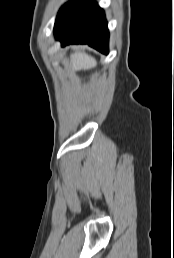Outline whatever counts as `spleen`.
<instances>
[{
	"instance_id": "3e777b00",
	"label": "spleen",
	"mask_w": 174,
	"mask_h": 258,
	"mask_svg": "<svg viewBox=\"0 0 174 258\" xmlns=\"http://www.w3.org/2000/svg\"><path fill=\"white\" fill-rule=\"evenodd\" d=\"M96 60L84 52H77L71 55L73 69H90L96 66Z\"/></svg>"
}]
</instances>
